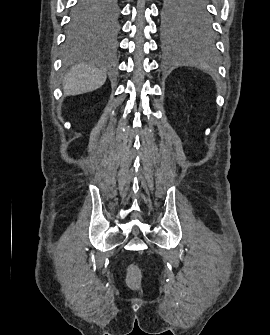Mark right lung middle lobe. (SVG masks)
Wrapping results in <instances>:
<instances>
[{
	"mask_svg": "<svg viewBox=\"0 0 270 335\" xmlns=\"http://www.w3.org/2000/svg\"><path fill=\"white\" fill-rule=\"evenodd\" d=\"M120 0H77L70 13L67 27L69 44L86 38L100 24L115 26Z\"/></svg>",
	"mask_w": 270,
	"mask_h": 335,
	"instance_id": "1",
	"label": "right lung middle lobe"
}]
</instances>
